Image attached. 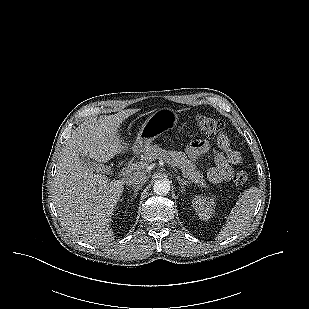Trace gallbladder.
Here are the masks:
<instances>
[{
    "instance_id": "1",
    "label": "gallbladder",
    "mask_w": 309,
    "mask_h": 309,
    "mask_svg": "<svg viewBox=\"0 0 309 309\" xmlns=\"http://www.w3.org/2000/svg\"><path fill=\"white\" fill-rule=\"evenodd\" d=\"M81 162L90 170L96 173H106L108 168L102 164L92 162L88 157L80 158Z\"/></svg>"
}]
</instances>
